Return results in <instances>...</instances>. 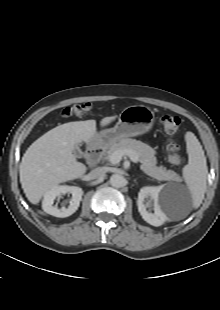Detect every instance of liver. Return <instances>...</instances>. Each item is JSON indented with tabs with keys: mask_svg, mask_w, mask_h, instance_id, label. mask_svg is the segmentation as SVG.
<instances>
[{
	"mask_svg": "<svg viewBox=\"0 0 220 310\" xmlns=\"http://www.w3.org/2000/svg\"><path fill=\"white\" fill-rule=\"evenodd\" d=\"M105 117L101 126L115 120ZM96 136V121H75L59 125L33 142L19 166L20 183L27 199L38 204L52 187L82 177L87 167L76 160L73 149L91 143Z\"/></svg>",
	"mask_w": 220,
	"mask_h": 310,
	"instance_id": "1",
	"label": "liver"
}]
</instances>
